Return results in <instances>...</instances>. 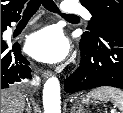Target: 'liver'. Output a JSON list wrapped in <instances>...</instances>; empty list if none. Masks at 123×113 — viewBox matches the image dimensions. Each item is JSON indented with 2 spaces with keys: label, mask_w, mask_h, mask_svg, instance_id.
<instances>
[{
  "label": "liver",
  "mask_w": 123,
  "mask_h": 113,
  "mask_svg": "<svg viewBox=\"0 0 123 113\" xmlns=\"http://www.w3.org/2000/svg\"><path fill=\"white\" fill-rule=\"evenodd\" d=\"M25 96L15 87L1 90V113H23Z\"/></svg>",
  "instance_id": "1"
}]
</instances>
